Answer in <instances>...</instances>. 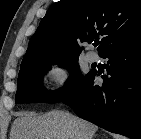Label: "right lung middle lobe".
<instances>
[{
  "label": "right lung middle lobe",
  "instance_id": "obj_1",
  "mask_svg": "<svg viewBox=\"0 0 141 139\" xmlns=\"http://www.w3.org/2000/svg\"><path fill=\"white\" fill-rule=\"evenodd\" d=\"M60 67H68L71 72L66 84L59 90L46 91L42 85L43 75L50 69V66L38 64L20 69L15 96L16 103H58L68 98L75 92L90 75L84 77L78 71V58L60 62ZM54 64V63H53Z\"/></svg>",
  "mask_w": 141,
  "mask_h": 139
}]
</instances>
